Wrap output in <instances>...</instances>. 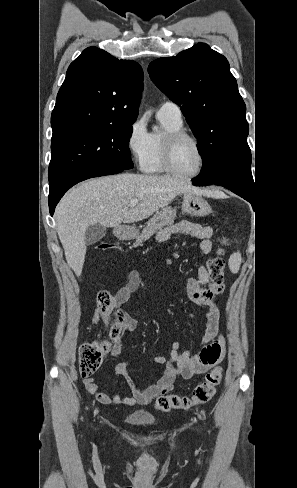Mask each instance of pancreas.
I'll list each match as a JSON object with an SVG mask.
<instances>
[{
  "label": "pancreas",
  "instance_id": "cf45deb5",
  "mask_svg": "<svg viewBox=\"0 0 297 488\" xmlns=\"http://www.w3.org/2000/svg\"><path fill=\"white\" fill-rule=\"evenodd\" d=\"M176 218V209L165 207L156 212V214L146 223L142 233L138 236L135 245H139L143 241L148 240L163 226L173 224Z\"/></svg>",
  "mask_w": 297,
  "mask_h": 488
}]
</instances>
